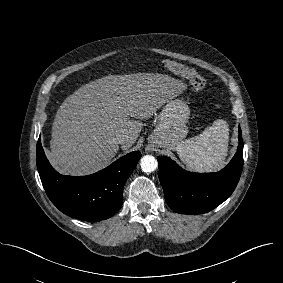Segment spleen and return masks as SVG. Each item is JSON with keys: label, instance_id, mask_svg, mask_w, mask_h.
Wrapping results in <instances>:
<instances>
[{"label": "spleen", "instance_id": "spleen-1", "mask_svg": "<svg viewBox=\"0 0 283 283\" xmlns=\"http://www.w3.org/2000/svg\"><path fill=\"white\" fill-rule=\"evenodd\" d=\"M229 127L218 119L201 134L180 142L176 151L181 161L195 172H216L225 164L228 151Z\"/></svg>", "mask_w": 283, "mask_h": 283}]
</instances>
